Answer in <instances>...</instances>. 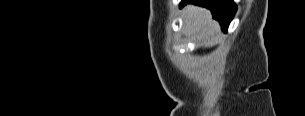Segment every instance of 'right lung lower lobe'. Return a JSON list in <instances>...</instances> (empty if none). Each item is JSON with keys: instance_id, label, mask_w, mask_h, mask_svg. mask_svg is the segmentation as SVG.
Wrapping results in <instances>:
<instances>
[{"instance_id": "1", "label": "right lung lower lobe", "mask_w": 305, "mask_h": 116, "mask_svg": "<svg viewBox=\"0 0 305 116\" xmlns=\"http://www.w3.org/2000/svg\"><path fill=\"white\" fill-rule=\"evenodd\" d=\"M196 4L211 10L214 19L218 20L223 31H227L230 21L237 10L233 0H182L180 7Z\"/></svg>"}]
</instances>
